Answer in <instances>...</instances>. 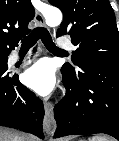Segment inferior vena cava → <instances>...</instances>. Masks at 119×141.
Here are the masks:
<instances>
[{"label":"inferior vena cava","mask_w":119,"mask_h":141,"mask_svg":"<svg viewBox=\"0 0 119 141\" xmlns=\"http://www.w3.org/2000/svg\"><path fill=\"white\" fill-rule=\"evenodd\" d=\"M17 141H23L21 138L16 139Z\"/></svg>","instance_id":"602c4592"}]
</instances>
